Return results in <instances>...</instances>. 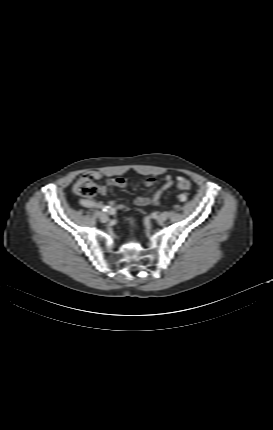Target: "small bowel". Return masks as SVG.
<instances>
[{
  "mask_svg": "<svg viewBox=\"0 0 273 430\" xmlns=\"http://www.w3.org/2000/svg\"><path fill=\"white\" fill-rule=\"evenodd\" d=\"M93 179L98 180L102 177V174L98 171H92L89 173ZM155 178L150 177L147 178L144 182L146 187H152L155 184ZM181 181H188L185 178L182 177H177L176 179H174L171 175H166L164 178V183L162 184V186L155 191L151 196H138L135 198L134 200V204L137 206H146L149 204H159L161 201V196L162 194L168 190L170 187H172L173 185H179V183ZM189 182V181H188ZM107 184L109 186H113V187H117V188H124L127 185V181L125 178L119 177V178H109L107 179ZM99 194L101 195H105L106 194V187L105 186H100L98 189ZM80 205L85 207V208H102V206H104L102 203L100 202H96L94 200H90V199H81L79 201ZM110 207L116 209V210H123L125 208V205L122 202H110Z\"/></svg>",
  "mask_w": 273,
  "mask_h": 430,
  "instance_id": "c3829d8e",
  "label": "small bowel"
}]
</instances>
